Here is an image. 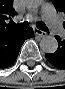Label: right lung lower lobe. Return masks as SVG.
Masks as SVG:
<instances>
[{
  "instance_id": "98d812e1",
  "label": "right lung lower lobe",
  "mask_w": 65,
  "mask_h": 89,
  "mask_svg": "<svg viewBox=\"0 0 65 89\" xmlns=\"http://www.w3.org/2000/svg\"><path fill=\"white\" fill-rule=\"evenodd\" d=\"M32 36V29H13L0 33V69L7 68L14 63L24 41Z\"/></svg>"
}]
</instances>
